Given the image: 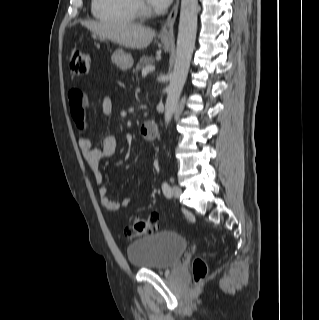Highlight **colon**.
<instances>
[{
	"instance_id": "colon-1",
	"label": "colon",
	"mask_w": 319,
	"mask_h": 320,
	"mask_svg": "<svg viewBox=\"0 0 319 320\" xmlns=\"http://www.w3.org/2000/svg\"><path fill=\"white\" fill-rule=\"evenodd\" d=\"M68 65L70 71L76 76H85L92 65V55L89 52L74 48L69 53ZM82 129H80L81 131ZM159 225V215L151 214L148 218H135L126 228L128 238L135 239L143 234L152 233ZM208 268L204 260L197 258L193 263V275L196 280L203 279Z\"/></svg>"
}]
</instances>
